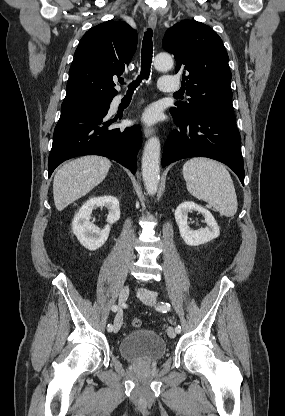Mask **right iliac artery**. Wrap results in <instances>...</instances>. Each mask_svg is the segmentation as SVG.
Wrapping results in <instances>:
<instances>
[{
    "label": "right iliac artery",
    "instance_id": "right-iliac-artery-1",
    "mask_svg": "<svg viewBox=\"0 0 285 416\" xmlns=\"http://www.w3.org/2000/svg\"><path fill=\"white\" fill-rule=\"evenodd\" d=\"M118 309H119V307H118V305H113L112 306V311L113 312H116V311H118ZM107 330L109 331V332H111L112 330H113V325L112 324H108L107 325Z\"/></svg>",
    "mask_w": 285,
    "mask_h": 416
}]
</instances>
